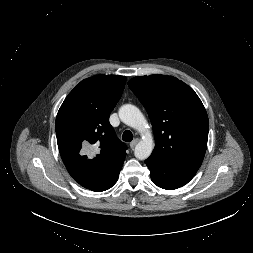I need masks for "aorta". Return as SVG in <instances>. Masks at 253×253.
Returning <instances> with one entry per match:
<instances>
[{"mask_svg":"<svg viewBox=\"0 0 253 253\" xmlns=\"http://www.w3.org/2000/svg\"><path fill=\"white\" fill-rule=\"evenodd\" d=\"M119 117L123 123L138 130L142 134L141 140L135 146L134 155L139 160L147 159L154 148L151 133L145 129L147 121L142 112L132 104H125L119 109Z\"/></svg>","mask_w":253,"mask_h":253,"instance_id":"obj_1","label":"aorta"}]
</instances>
